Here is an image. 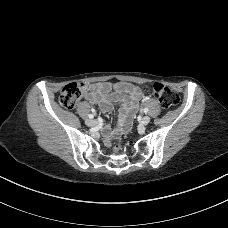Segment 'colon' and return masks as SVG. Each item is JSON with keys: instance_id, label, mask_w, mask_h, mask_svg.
<instances>
[{"instance_id": "obj_1", "label": "colon", "mask_w": 228, "mask_h": 228, "mask_svg": "<svg viewBox=\"0 0 228 228\" xmlns=\"http://www.w3.org/2000/svg\"><path fill=\"white\" fill-rule=\"evenodd\" d=\"M88 91L89 86L85 83H70L62 89L59 96V102L64 108L71 109L88 93ZM152 93L164 109L173 108L179 102L178 95L169 87L161 83H155L152 86ZM120 150L121 145H116L114 147L115 152H119Z\"/></svg>"}]
</instances>
